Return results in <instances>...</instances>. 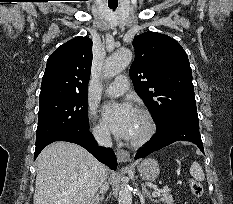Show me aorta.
<instances>
[{
	"mask_svg": "<svg viewBox=\"0 0 233 204\" xmlns=\"http://www.w3.org/2000/svg\"><path fill=\"white\" fill-rule=\"evenodd\" d=\"M132 52L129 49H120L110 55L104 65V77L111 78L121 73L131 62ZM119 204H132V189L127 179H123L118 197Z\"/></svg>",
	"mask_w": 233,
	"mask_h": 204,
	"instance_id": "aorta-1",
	"label": "aorta"
}]
</instances>
